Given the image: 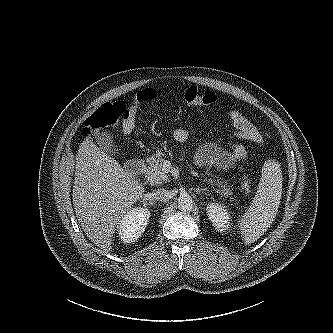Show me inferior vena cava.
I'll return each mask as SVG.
<instances>
[{
	"mask_svg": "<svg viewBox=\"0 0 333 333\" xmlns=\"http://www.w3.org/2000/svg\"><path fill=\"white\" fill-rule=\"evenodd\" d=\"M152 199L157 201H167L170 198V193L165 189H156L152 192Z\"/></svg>",
	"mask_w": 333,
	"mask_h": 333,
	"instance_id": "inferior-vena-cava-1",
	"label": "inferior vena cava"
}]
</instances>
